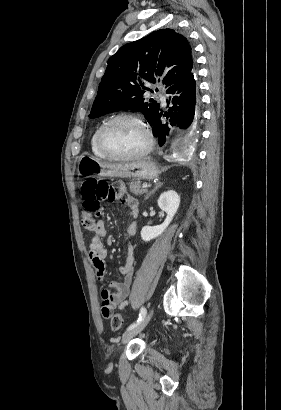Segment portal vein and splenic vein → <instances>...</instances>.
<instances>
[{"label":"portal vein and splenic vein","instance_id":"portal-vein-and-splenic-vein-1","mask_svg":"<svg viewBox=\"0 0 281 410\" xmlns=\"http://www.w3.org/2000/svg\"><path fill=\"white\" fill-rule=\"evenodd\" d=\"M148 186H149V185H148L147 183H144V184L142 185L143 188H148Z\"/></svg>","mask_w":281,"mask_h":410}]
</instances>
